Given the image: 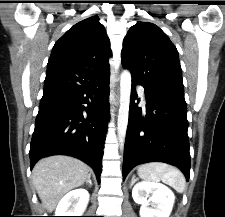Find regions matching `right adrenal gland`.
I'll use <instances>...</instances> for the list:
<instances>
[{"label":"right adrenal gland","mask_w":225,"mask_h":217,"mask_svg":"<svg viewBox=\"0 0 225 217\" xmlns=\"http://www.w3.org/2000/svg\"><path fill=\"white\" fill-rule=\"evenodd\" d=\"M86 184H89L90 186H92L91 174L88 175L87 180H86Z\"/></svg>","instance_id":"2a0ac1e0"}]
</instances>
